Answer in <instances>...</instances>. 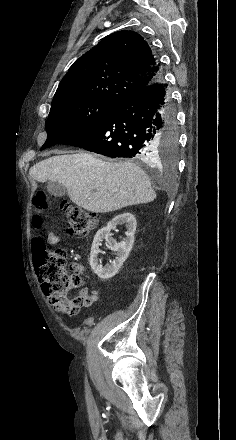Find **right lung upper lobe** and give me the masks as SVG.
<instances>
[{"label": "right lung upper lobe", "instance_id": "cb5924a9", "mask_svg": "<svg viewBox=\"0 0 236 440\" xmlns=\"http://www.w3.org/2000/svg\"><path fill=\"white\" fill-rule=\"evenodd\" d=\"M159 77L157 60L144 38L117 31L74 62L52 103L89 99L120 105Z\"/></svg>", "mask_w": 236, "mask_h": 440}]
</instances>
